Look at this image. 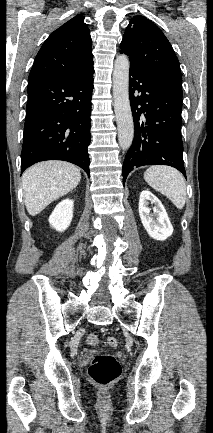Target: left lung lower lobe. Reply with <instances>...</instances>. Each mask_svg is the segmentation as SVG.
I'll use <instances>...</instances> for the list:
<instances>
[{"label":"left lung lower lobe","instance_id":"obj_1","mask_svg":"<svg viewBox=\"0 0 213 433\" xmlns=\"http://www.w3.org/2000/svg\"><path fill=\"white\" fill-rule=\"evenodd\" d=\"M129 97L135 135L123 163V184L135 167L143 165L172 166L186 177L181 137L182 95L130 66Z\"/></svg>","mask_w":213,"mask_h":433}]
</instances>
